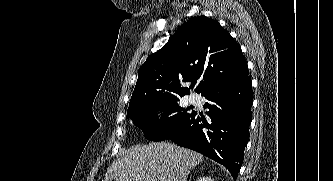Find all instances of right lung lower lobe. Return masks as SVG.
I'll list each match as a JSON object with an SVG mask.
<instances>
[{
	"instance_id": "1",
	"label": "right lung lower lobe",
	"mask_w": 333,
	"mask_h": 181,
	"mask_svg": "<svg viewBox=\"0 0 333 181\" xmlns=\"http://www.w3.org/2000/svg\"><path fill=\"white\" fill-rule=\"evenodd\" d=\"M207 118L193 112L170 138L175 144L195 150L224 165L234 180L241 168L249 138L251 78L217 87L204 95Z\"/></svg>"
}]
</instances>
